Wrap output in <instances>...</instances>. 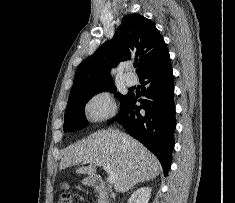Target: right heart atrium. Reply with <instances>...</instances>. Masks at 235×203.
<instances>
[{
	"mask_svg": "<svg viewBox=\"0 0 235 203\" xmlns=\"http://www.w3.org/2000/svg\"><path fill=\"white\" fill-rule=\"evenodd\" d=\"M115 103L107 91L93 95L85 105V113L93 122L102 121L115 113Z\"/></svg>",
	"mask_w": 235,
	"mask_h": 203,
	"instance_id": "1",
	"label": "right heart atrium"
}]
</instances>
